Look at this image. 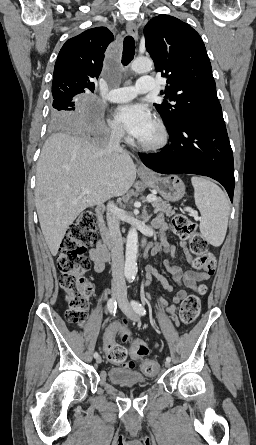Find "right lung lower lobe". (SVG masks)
Returning <instances> with one entry per match:
<instances>
[{
  "label": "right lung lower lobe",
  "instance_id": "obj_1",
  "mask_svg": "<svg viewBox=\"0 0 256 445\" xmlns=\"http://www.w3.org/2000/svg\"><path fill=\"white\" fill-rule=\"evenodd\" d=\"M93 117H94V119H96V121H98V128H97V131L100 132V133H103L104 130H103V128L99 125V122L101 121V115H99V114H98V115H97V114L95 115V114H94Z\"/></svg>",
  "mask_w": 256,
  "mask_h": 445
}]
</instances>
